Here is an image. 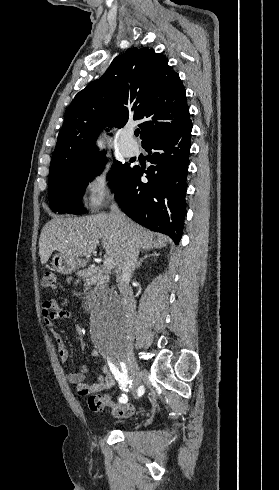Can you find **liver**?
I'll use <instances>...</instances> for the list:
<instances>
[{"instance_id":"1","label":"liver","mask_w":279,"mask_h":490,"mask_svg":"<svg viewBox=\"0 0 279 490\" xmlns=\"http://www.w3.org/2000/svg\"><path fill=\"white\" fill-rule=\"evenodd\" d=\"M135 240L139 250L166 248L167 236L154 234L127 218L125 226H116L109 214H97L86 218H63L57 216L50 220L39 238V256L41 264H47L52 252L57 250L69 258H82L95 252L99 240L107 256L113 258L115 272L124 262L129 240Z\"/></svg>"}]
</instances>
